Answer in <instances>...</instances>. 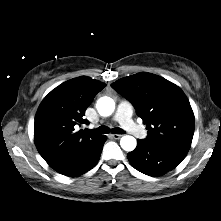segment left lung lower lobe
Instances as JSON below:
<instances>
[{
    "mask_svg": "<svg viewBox=\"0 0 221 221\" xmlns=\"http://www.w3.org/2000/svg\"><path fill=\"white\" fill-rule=\"evenodd\" d=\"M187 150L138 139L137 147L128 153V160L138 171L149 176H161L177 167Z\"/></svg>",
    "mask_w": 221,
    "mask_h": 221,
    "instance_id": "0a47b994",
    "label": "left lung lower lobe"
}]
</instances>
